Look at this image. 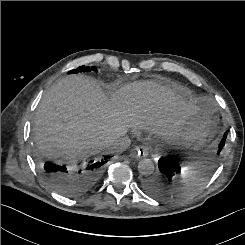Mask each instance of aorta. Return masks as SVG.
Here are the masks:
<instances>
[{
  "mask_svg": "<svg viewBox=\"0 0 245 245\" xmlns=\"http://www.w3.org/2000/svg\"><path fill=\"white\" fill-rule=\"evenodd\" d=\"M155 166L152 160L142 159L138 163V172L143 176H149L154 172Z\"/></svg>",
  "mask_w": 245,
  "mask_h": 245,
  "instance_id": "1",
  "label": "aorta"
}]
</instances>
